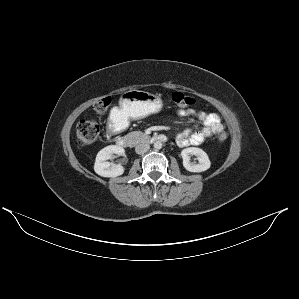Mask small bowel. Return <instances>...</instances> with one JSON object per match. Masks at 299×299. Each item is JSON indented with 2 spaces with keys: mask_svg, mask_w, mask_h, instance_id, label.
<instances>
[{
  "mask_svg": "<svg viewBox=\"0 0 299 299\" xmlns=\"http://www.w3.org/2000/svg\"><path fill=\"white\" fill-rule=\"evenodd\" d=\"M178 115L184 117H195L202 125L201 130L186 129L176 136V143L180 147L200 145L214 134H220L225 126L221 117L215 113H206L193 108L179 109Z\"/></svg>",
  "mask_w": 299,
  "mask_h": 299,
  "instance_id": "obj_1",
  "label": "small bowel"
}]
</instances>
